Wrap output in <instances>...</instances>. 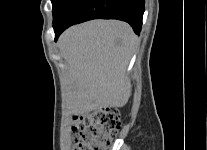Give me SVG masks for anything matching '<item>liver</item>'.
Here are the masks:
<instances>
[{"label":"liver","instance_id":"1","mask_svg":"<svg viewBox=\"0 0 207 150\" xmlns=\"http://www.w3.org/2000/svg\"><path fill=\"white\" fill-rule=\"evenodd\" d=\"M136 40L132 28L117 20H93L60 36V51L68 66L66 103L71 114L128 102L132 87L125 72Z\"/></svg>","mask_w":207,"mask_h":150}]
</instances>
